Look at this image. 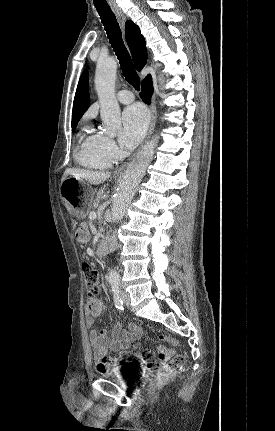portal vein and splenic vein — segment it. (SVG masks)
Here are the masks:
<instances>
[{
	"label": "portal vein and splenic vein",
	"mask_w": 275,
	"mask_h": 431,
	"mask_svg": "<svg viewBox=\"0 0 275 431\" xmlns=\"http://www.w3.org/2000/svg\"><path fill=\"white\" fill-rule=\"evenodd\" d=\"M96 217H97L96 212H91V213L89 214V219H90V220H94Z\"/></svg>",
	"instance_id": "obj_1"
}]
</instances>
